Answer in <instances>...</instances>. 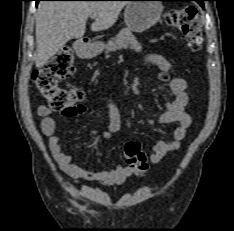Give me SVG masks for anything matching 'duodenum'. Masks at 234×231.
<instances>
[{
    "mask_svg": "<svg viewBox=\"0 0 234 231\" xmlns=\"http://www.w3.org/2000/svg\"><path fill=\"white\" fill-rule=\"evenodd\" d=\"M89 45L90 42L88 39H82L77 43L76 48L80 53L86 54L88 53Z\"/></svg>",
    "mask_w": 234,
    "mask_h": 231,
    "instance_id": "duodenum-1",
    "label": "duodenum"
}]
</instances>
